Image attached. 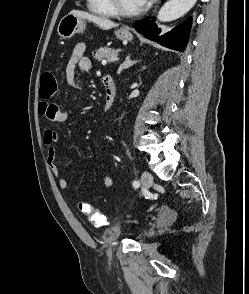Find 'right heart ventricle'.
<instances>
[{
	"label": "right heart ventricle",
	"mask_w": 249,
	"mask_h": 294,
	"mask_svg": "<svg viewBox=\"0 0 249 294\" xmlns=\"http://www.w3.org/2000/svg\"><path fill=\"white\" fill-rule=\"evenodd\" d=\"M88 9L97 15L113 17L116 15L108 0H87Z\"/></svg>",
	"instance_id": "obj_1"
}]
</instances>
